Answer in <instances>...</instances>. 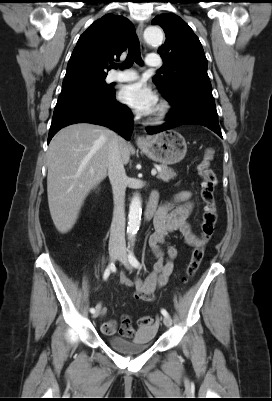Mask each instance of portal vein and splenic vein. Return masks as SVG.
<instances>
[{"mask_svg":"<svg viewBox=\"0 0 272 401\" xmlns=\"http://www.w3.org/2000/svg\"><path fill=\"white\" fill-rule=\"evenodd\" d=\"M157 174V171L155 170V169H153L152 171H151V175L152 176H155Z\"/></svg>","mask_w":272,"mask_h":401,"instance_id":"portal-vein-and-splenic-vein-1","label":"portal vein and splenic vein"}]
</instances>
